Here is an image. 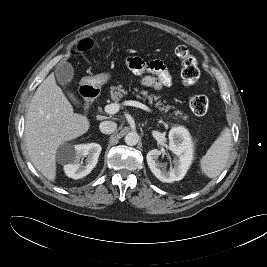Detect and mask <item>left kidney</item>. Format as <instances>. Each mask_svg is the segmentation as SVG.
I'll return each mask as SVG.
<instances>
[{
	"label": "left kidney",
	"instance_id": "5707ae66",
	"mask_svg": "<svg viewBox=\"0 0 267 267\" xmlns=\"http://www.w3.org/2000/svg\"><path fill=\"white\" fill-rule=\"evenodd\" d=\"M168 149L177 157L169 170L158 161L162 150L153 149L147 153V164L151 172L162 182L172 183L183 179L192 161V144L184 127H173L168 135Z\"/></svg>",
	"mask_w": 267,
	"mask_h": 267
}]
</instances>
